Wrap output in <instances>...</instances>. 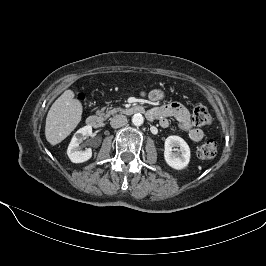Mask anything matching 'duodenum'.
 Listing matches in <instances>:
<instances>
[{"label": "duodenum", "mask_w": 266, "mask_h": 266, "mask_svg": "<svg viewBox=\"0 0 266 266\" xmlns=\"http://www.w3.org/2000/svg\"><path fill=\"white\" fill-rule=\"evenodd\" d=\"M125 113L128 115H134V114H144L145 113V109L140 106V105H134L131 106L127 109H125ZM147 114V113H146ZM104 118L102 116L99 115H90L87 120L86 123L95 129H100L104 126Z\"/></svg>", "instance_id": "obj_1"}]
</instances>
